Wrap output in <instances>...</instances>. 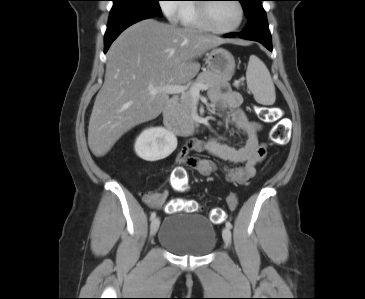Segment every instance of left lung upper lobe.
Returning a JSON list of instances; mask_svg holds the SVG:
<instances>
[{
  "instance_id": "1",
  "label": "left lung upper lobe",
  "mask_w": 365,
  "mask_h": 299,
  "mask_svg": "<svg viewBox=\"0 0 365 299\" xmlns=\"http://www.w3.org/2000/svg\"><path fill=\"white\" fill-rule=\"evenodd\" d=\"M245 12L246 18L248 20L253 19L258 14L264 13L261 1L263 0H238Z\"/></svg>"
}]
</instances>
